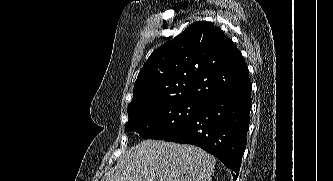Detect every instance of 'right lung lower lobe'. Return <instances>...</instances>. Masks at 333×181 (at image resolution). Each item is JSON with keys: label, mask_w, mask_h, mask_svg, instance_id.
<instances>
[{"label": "right lung lower lobe", "mask_w": 333, "mask_h": 181, "mask_svg": "<svg viewBox=\"0 0 333 181\" xmlns=\"http://www.w3.org/2000/svg\"><path fill=\"white\" fill-rule=\"evenodd\" d=\"M251 83L204 100L187 126L167 141L196 145L217 157L238 177L246 148Z\"/></svg>", "instance_id": "1"}]
</instances>
